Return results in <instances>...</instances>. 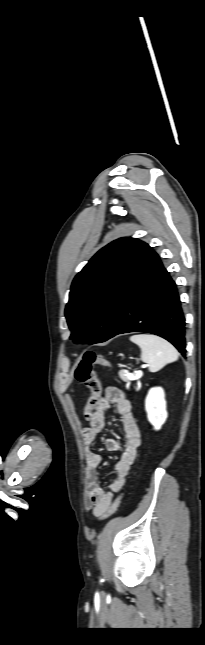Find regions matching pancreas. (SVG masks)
<instances>
[{"instance_id":"obj_1","label":"pancreas","mask_w":205,"mask_h":645,"mask_svg":"<svg viewBox=\"0 0 205 645\" xmlns=\"http://www.w3.org/2000/svg\"><path fill=\"white\" fill-rule=\"evenodd\" d=\"M119 376H120V378H121L124 382H126V383H128V384L130 383V381H132V380H133L132 378H130V377L127 375V371H125V370H120V371H119ZM138 377H139V376H137V377L135 376V378H134V379H137Z\"/></svg>"}]
</instances>
